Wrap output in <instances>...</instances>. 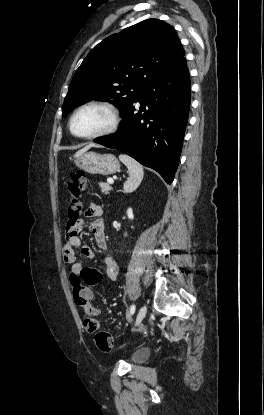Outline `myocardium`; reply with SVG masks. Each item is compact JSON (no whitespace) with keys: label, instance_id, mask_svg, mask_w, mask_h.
I'll return each instance as SVG.
<instances>
[{"label":"myocardium","instance_id":"myocardium-1","mask_svg":"<svg viewBox=\"0 0 264 415\" xmlns=\"http://www.w3.org/2000/svg\"><path fill=\"white\" fill-rule=\"evenodd\" d=\"M89 107L101 108V109L107 111L109 113V115H110V123H109V125L106 128H104L103 130L98 131L96 133H93V134H90V135H80V134H77L74 131V127H73L74 119H75L76 115L80 111H82L85 108H89ZM120 120H121L120 119V113H119L118 109L114 105H112L111 103H108V102L92 101V102H87V103L79 106L73 112V114L70 117L69 128H70L71 133L74 136H76L78 138H81V139L91 140V139H96V138L104 137V136H107V135H110V134L114 133L118 129L119 125H120Z\"/></svg>","mask_w":264,"mask_h":415}]
</instances>
